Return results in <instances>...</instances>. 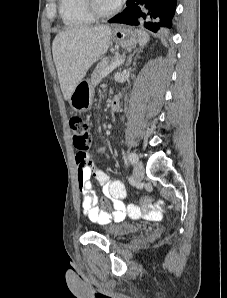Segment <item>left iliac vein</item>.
<instances>
[{"mask_svg": "<svg viewBox=\"0 0 227 298\" xmlns=\"http://www.w3.org/2000/svg\"><path fill=\"white\" fill-rule=\"evenodd\" d=\"M144 175V167L141 163H136L134 167V177L136 181H139L142 179Z\"/></svg>", "mask_w": 227, "mask_h": 298, "instance_id": "1", "label": "left iliac vein"}]
</instances>
